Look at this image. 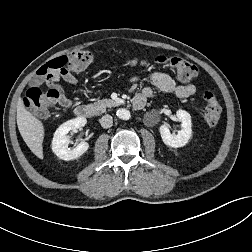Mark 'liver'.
<instances>
[{
	"label": "liver",
	"mask_w": 252,
	"mask_h": 252,
	"mask_svg": "<svg viewBox=\"0 0 252 252\" xmlns=\"http://www.w3.org/2000/svg\"><path fill=\"white\" fill-rule=\"evenodd\" d=\"M17 126L29 149L38 158L43 159V123L26 109L21 98L17 103Z\"/></svg>",
	"instance_id": "1"
}]
</instances>
